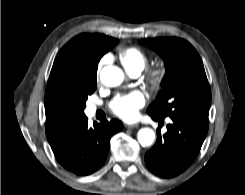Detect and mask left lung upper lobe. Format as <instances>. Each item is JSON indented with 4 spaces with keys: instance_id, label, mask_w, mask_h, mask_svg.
<instances>
[{
    "instance_id": "left-lung-upper-lobe-1",
    "label": "left lung upper lobe",
    "mask_w": 245,
    "mask_h": 195,
    "mask_svg": "<svg viewBox=\"0 0 245 195\" xmlns=\"http://www.w3.org/2000/svg\"><path fill=\"white\" fill-rule=\"evenodd\" d=\"M164 60L162 89L147 113L158 119L169 116L209 123L210 86L202 60L186 40L160 37L140 40Z\"/></svg>"
}]
</instances>
